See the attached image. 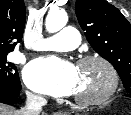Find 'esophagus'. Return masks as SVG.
<instances>
[{
    "label": "esophagus",
    "mask_w": 131,
    "mask_h": 115,
    "mask_svg": "<svg viewBox=\"0 0 131 115\" xmlns=\"http://www.w3.org/2000/svg\"><path fill=\"white\" fill-rule=\"evenodd\" d=\"M54 115H61V113H59V112H56V113H54Z\"/></svg>",
    "instance_id": "34e87169"
}]
</instances>
